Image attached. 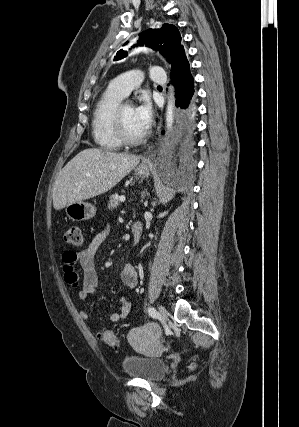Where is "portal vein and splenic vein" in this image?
<instances>
[{
  "label": "portal vein and splenic vein",
  "mask_w": 299,
  "mask_h": 427,
  "mask_svg": "<svg viewBox=\"0 0 299 427\" xmlns=\"http://www.w3.org/2000/svg\"><path fill=\"white\" fill-rule=\"evenodd\" d=\"M119 200L121 201V202H124L126 199H125V196H121L120 198H119Z\"/></svg>",
  "instance_id": "obj_1"
}]
</instances>
